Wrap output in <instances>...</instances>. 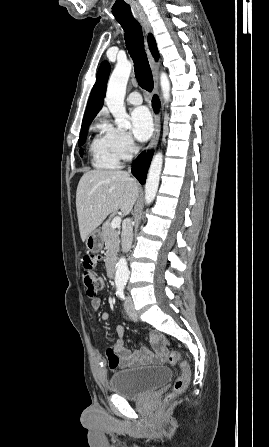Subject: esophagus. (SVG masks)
Instances as JSON below:
<instances>
[{"label":"esophagus","mask_w":269,"mask_h":447,"mask_svg":"<svg viewBox=\"0 0 269 447\" xmlns=\"http://www.w3.org/2000/svg\"><path fill=\"white\" fill-rule=\"evenodd\" d=\"M138 21L140 22V24L143 27V30L145 32L146 35H148V33L152 32V27L150 22L148 21V18L146 15H140L138 18ZM146 52H147V57L149 60V64H150V68L152 71V75L154 78V88H153V95H157L158 94V68H159V62H156L154 57L152 56L147 42H146ZM154 125H155V130H154V134L152 136V139L148 145V148H153L157 145L158 140H159V135H160V129H161V123H160V115H154Z\"/></svg>","instance_id":"esophagus-1"}]
</instances>
